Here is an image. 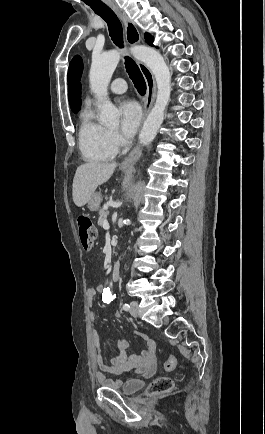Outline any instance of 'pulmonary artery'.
<instances>
[{
  "label": "pulmonary artery",
  "instance_id": "1",
  "mask_svg": "<svg viewBox=\"0 0 265 434\" xmlns=\"http://www.w3.org/2000/svg\"><path fill=\"white\" fill-rule=\"evenodd\" d=\"M122 80H123L122 78H117V79L112 83L111 90H112L114 93L121 94V93H124L126 90H128V88H129V83H128V81H122Z\"/></svg>",
  "mask_w": 265,
  "mask_h": 434
}]
</instances>
